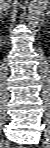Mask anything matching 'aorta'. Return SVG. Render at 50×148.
I'll return each mask as SVG.
<instances>
[{"mask_svg":"<svg viewBox=\"0 0 50 148\" xmlns=\"http://www.w3.org/2000/svg\"><path fill=\"white\" fill-rule=\"evenodd\" d=\"M47 4L46 0H30L28 25L32 28L36 27L44 15Z\"/></svg>","mask_w":50,"mask_h":148,"instance_id":"1","label":"aorta"}]
</instances>
